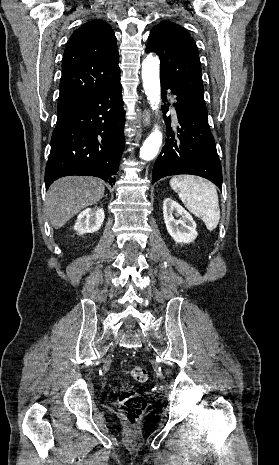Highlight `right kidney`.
Here are the masks:
<instances>
[{"label": "right kidney", "instance_id": "1", "mask_svg": "<svg viewBox=\"0 0 279 465\" xmlns=\"http://www.w3.org/2000/svg\"><path fill=\"white\" fill-rule=\"evenodd\" d=\"M104 218L103 208H87L78 215L74 229L81 235L84 233H94L100 229Z\"/></svg>", "mask_w": 279, "mask_h": 465}]
</instances>
